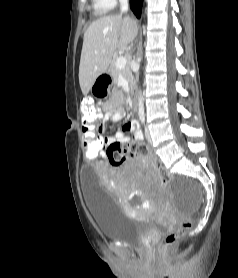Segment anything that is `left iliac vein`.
<instances>
[{"label": "left iliac vein", "instance_id": "1", "mask_svg": "<svg viewBox=\"0 0 238 278\" xmlns=\"http://www.w3.org/2000/svg\"><path fill=\"white\" fill-rule=\"evenodd\" d=\"M145 136H146L147 140L149 142H151V135H150V131L147 126L145 127Z\"/></svg>", "mask_w": 238, "mask_h": 278}]
</instances>
